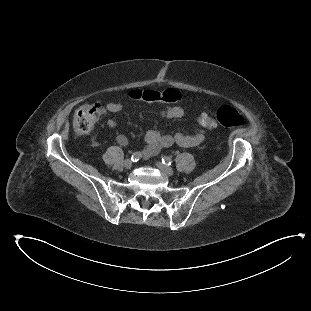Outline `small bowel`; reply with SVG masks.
Listing matches in <instances>:
<instances>
[{
  "instance_id": "obj_1",
  "label": "small bowel",
  "mask_w": 311,
  "mask_h": 311,
  "mask_svg": "<svg viewBox=\"0 0 311 311\" xmlns=\"http://www.w3.org/2000/svg\"><path fill=\"white\" fill-rule=\"evenodd\" d=\"M106 111L109 113L120 112L124 105L116 101H108L105 104ZM158 115L163 118L177 119L184 115V111L179 106H168L165 109L159 110ZM110 128L117 126V121L113 118H108L106 121ZM145 157H151L158 153L161 149L168 148L173 144L183 147H197L200 146L205 140V129L200 123L198 128L191 134L178 132L174 135L161 134L156 131H148L145 135ZM117 142L120 145L127 144V138L124 135L117 137Z\"/></svg>"
}]
</instances>
